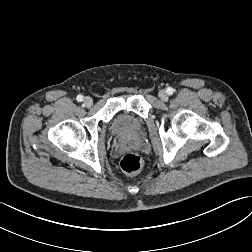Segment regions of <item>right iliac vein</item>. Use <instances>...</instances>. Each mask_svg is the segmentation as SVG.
Returning <instances> with one entry per match:
<instances>
[{"label":"right iliac vein","mask_w":252,"mask_h":252,"mask_svg":"<svg viewBox=\"0 0 252 252\" xmlns=\"http://www.w3.org/2000/svg\"><path fill=\"white\" fill-rule=\"evenodd\" d=\"M83 103L86 107H91L93 104V100L91 97L87 96L84 98Z\"/></svg>","instance_id":"obj_1"}]
</instances>
